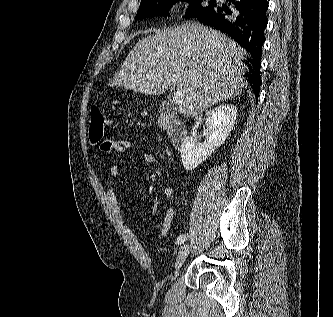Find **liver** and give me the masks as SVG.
I'll return each instance as SVG.
<instances>
[{
	"label": "liver",
	"mask_w": 333,
	"mask_h": 317,
	"mask_svg": "<svg viewBox=\"0 0 333 317\" xmlns=\"http://www.w3.org/2000/svg\"><path fill=\"white\" fill-rule=\"evenodd\" d=\"M245 55L235 41L198 23L158 29L136 43L111 85L158 95L173 84L183 95L180 113L193 117L241 93Z\"/></svg>",
	"instance_id": "liver-1"
}]
</instances>
